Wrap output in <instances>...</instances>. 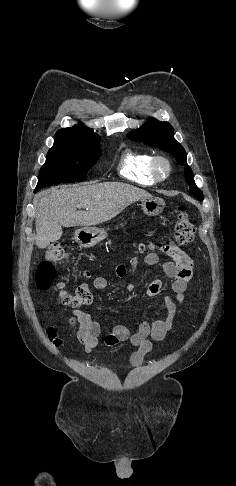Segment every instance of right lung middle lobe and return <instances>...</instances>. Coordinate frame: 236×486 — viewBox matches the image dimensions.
<instances>
[{
    "label": "right lung middle lobe",
    "mask_w": 236,
    "mask_h": 486,
    "mask_svg": "<svg viewBox=\"0 0 236 486\" xmlns=\"http://www.w3.org/2000/svg\"><path fill=\"white\" fill-rule=\"evenodd\" d=\"M101 154L99 143L55 138L42 166L35 192L62 182H81Z\"/></svg>",
    "instance_id": "right-lung-middle-lobe-1"
}]
</instances>
